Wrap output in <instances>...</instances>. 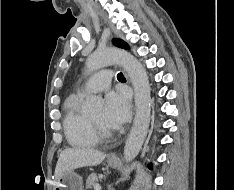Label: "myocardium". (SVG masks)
Masks as SVG:
<instances>
[{
    "mask_svg": "<svg viewBox=\"0 0 234 190\" xmlns=\"http://www.w3.org/2000/svg\"><path fill=\"white\" fill-rule=\"evenodd\" d=\"M89 119L98 137L103 139L112 137L113 132L110 128L94 120L92 117H89Z\"/></svg>",
    "mask_w": 234,
    "mask_h": 190,
    "instance_id": "obj_1",
    "label": "myocardium"
}]
</instances>
